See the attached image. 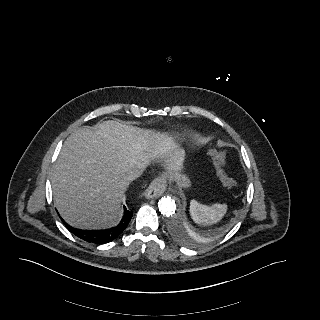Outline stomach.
I'll return each mask as SVG.
<instances>
[{"label":"stomach","mask_w":320,"mask_h":320,"mask_svg":"<svg viewBox=\"0 0 320 320\" xmlns=\"http://www.w3.org/2000/svg\"><path fill=\"white\" fill-rule=\"evenodd\" d=\"M171 178L174 179L177 182V184L181 187L188 188L190 186V180L188 179V177H186L178 172H175L171 176Z\"/></svg>","instance_id":"0dacf381"}]
</instances>
